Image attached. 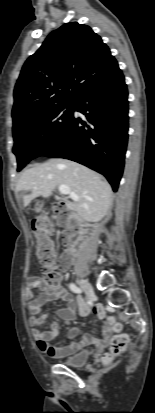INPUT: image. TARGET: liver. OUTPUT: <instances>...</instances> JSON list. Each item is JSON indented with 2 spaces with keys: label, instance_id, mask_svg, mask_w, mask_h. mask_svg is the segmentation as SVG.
I'll use <instances>...</instances> for the list:
<instances>
[{
  "label": "liver",
  "instance_id": "1",
  "mask_svg": "<svg viewBox=\"0 0 155 413\" xmlns=\"http://www.w3.org/2000/svg\"><path fill=\"white\" fill-rule=\"evenodd\" d=\"M60 185H67L78 196L72 206L85 221L98 222L107 214L112 203L110 185L93 170L68 159H50L25 170L16 192H22L26 207L37 197H50Z\"/></svg>",
  "mask_w": 155,
  "mask_h": 413
}]
</instances>
